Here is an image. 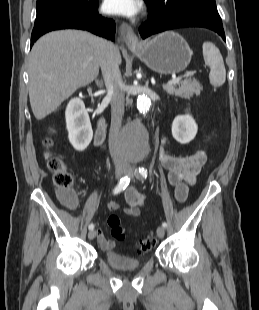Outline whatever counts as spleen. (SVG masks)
I'll return each instance as SVG.
<instances>
[{
    "instance_id": "obj_1",
    "label": "spleen",
    "mask_w": 259,
    "mask_h": 310,
    "mask_svg": "<svg viewBox=\"0 0 259 310\" xmlns=\"http://www.w3.org/2000/svg\"><path fill=\"white\" fill-rule=\"evenodd\" d=\"M202 48L205 64L210 67L209 80L211 85L222 86L226 80V70L219 49L209 41L204 42Z\"/></svg>"
}]
</instances>
